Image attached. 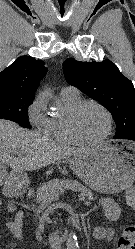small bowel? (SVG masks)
Returning <instances> with one entry per match:
<instances>
[{
	"mask_svg": "<svg viewBox=\"0 0 135 249\" xmlns=\"http://www.w3.org/2000/svg\"><path fill=\"white\" fill-rule=\"evenodd\" d=\"M2 202L0 201V205ZM101 206L104 212V215L109 222L115 221L120 214L119 207L117 204L110 198H104L101 201ZM8 212H15L16 211V205L13 203H10L7 205ZM24 219V213L22 210H19L16 212L15 218L12 222L7 223L6 225L12 232V234L20 239L22 237V223ZM94 236L97 238H104V239H110L112 236V230L110 227H98L94 231Z\"/></svg>",
	"mask_w": 135,
	"mask_h": 249,
	"instance_id": "c3829d8e",
	"label": "small bowel"
}]
</instances>
